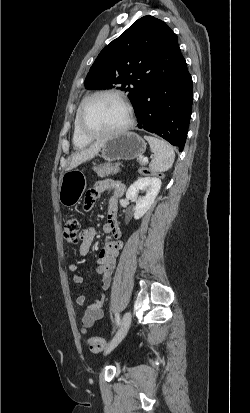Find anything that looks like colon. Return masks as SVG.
Wrapping results in <instances>:
<instances>
[{"instance_id":"1","label":"colon","mask_w":250,"mask_h":413,"mask_svg":"<svg viewBox=\"0 0 250 413\" xmlns=\"http://www.w3.org/2000/svg\"><path fill=\"white\" fill-rule=\"evenodd\" d=\"M139 172L144 174L146 177H155L156 180H163L165 174L163 171H158L156 168H139ZM81 230V224L78 219L71 218L66 221L64 226L63 235L64 238L70 243L78 242L81 237L79 236V231ZM88 345L91 350H101L103 349L107 341L102 337H92L87 340Z\"/></svg>"}]
</instances>
